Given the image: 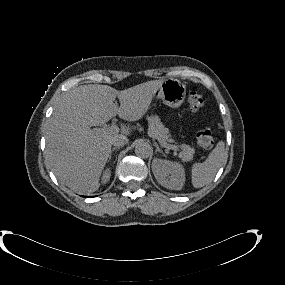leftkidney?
I'll list each match as a JSON object with an SVG mask.
<instances>
[{
  "mask_svg": "<svg viewBox=\"0 0 285 285\" xmlns=\"http://www.w3.org/2000/svg\"><path fill=\"white\" fill-rule=\"evenodd\" d=\"M152 171L158 183L167 189L181 190L185 183V170L177 162L154 159Z\"/></svg>",
  "mask_w": 285,
  "mask_h": 285,
  "instance_id": "1",
  "label": "left kidney"
}]
</instances>
